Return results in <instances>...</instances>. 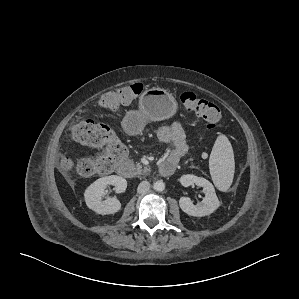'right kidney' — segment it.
Listing matches in <instances>:
<instances>
[{"instance_id": "ca27d5eb", "label": "right kidney", "mask_w": 299, "mask_h": 299, "mask_svg": "<svg viewBox=\"0 0 299 299\" xmlns=\"http://www.w3.org/2000/svg\"><path fill=\"white\" fill-rule=\"evenodd\" d=\"M108 185H114V190L122 193L127 188V181L117 175L102 177L93 182L84 193L87 207L101 215L114 214L121 209V203L116 197L102 200Z\"/></svg>"}]
</instances>
